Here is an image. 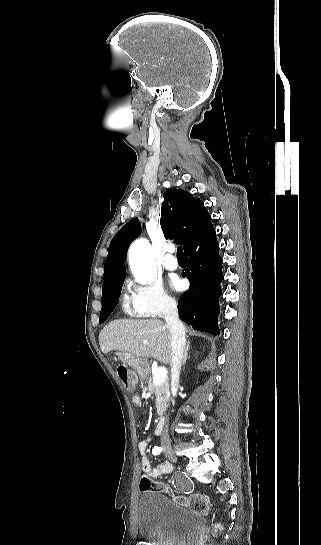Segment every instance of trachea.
Instances as JSON below:
<instances>
[{"label": "trachea", "instance_id": "1", "mask_svg": "<svg viewBox=\"0 0 321 545\" xmlns=\"http://www.w3.org/2000/svg\"><path fill=\"white\" fill-rule=\"evenodd\" d=\"M177 258H182L184 259V253H183V250H182V246H179L177 248Z\"/></svg>", "mask_w": 321, "mask_h": 545}]
</instances>
